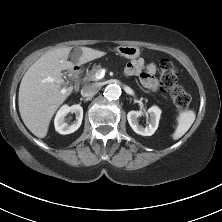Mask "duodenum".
<instances>
[{
    "mask_svg": "<svg viewBox=\"0 0 222 222\" xmlns=\"http://www.w3.org/2000/svg\"><path fill=\"white\" fill-rule=\"evenodd\" d=\"M80 72H81V69H80L79 67L74 68V76H75V78H76V82H75V84H74V89H75L76 91H77L78 88H79V81H78V79H79V76H80Z\"/></svg>",
    "mask_w": 222,
    "mask_h": 222,
    "instance_id": "duodenum-1",
    "label": "duodenum"
}]
</instances>
